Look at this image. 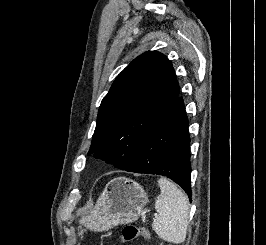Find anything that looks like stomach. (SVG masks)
<instances>
[{
  "instance_id": "1",
  "label": "stomach",
  "mask_w": 266,
  "mask_h": 245,
  "mask_svg": "<svg viewBox=\"0 0 266 245\" xmlns=\"http://www.w3.org/2000/svg\"><path fill=\"white\" fill-rule=\"evenodd\" d=\"M146 203L148 195L139 183L116 177L107 183L90 215L82 217L79 223L90 231H109L117 225L138 221Z\"/></svg>"
}]
</instances>
